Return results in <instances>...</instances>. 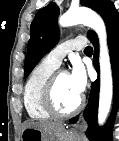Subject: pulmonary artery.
Returning <instances> with one entry per match:
<instances>
[{
  "instance_id": "pulmonary-artery-1",
  "label": "pulmonary artery",
  "mask_w": 119,
  "mask_h": 141,
  "mask_svg": "<svg viewBox=\"0 0 119 141\" xmlns=\"http://www.w3.org/2000/svg\"><path fill=\"white\" fill-rule=\"evenodd\" d=\"M86 45L82 38L68 39L60 43L50 53L47 54L44 61L54 67H59L63 58L72 50H79Z\"/></svg>"
}]
</instances>
